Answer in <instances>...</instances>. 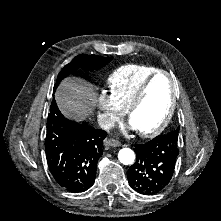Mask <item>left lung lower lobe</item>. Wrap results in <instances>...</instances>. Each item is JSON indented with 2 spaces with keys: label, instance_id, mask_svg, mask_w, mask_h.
Segmentation results:
<instances>
[{
  "label": "left lung lower lobe",
  "instance_id": "0a47b994",
  "mask_svg": "<svg viewBox=\"0 0 221 221\" xmlns=\"http://www.w3.org/2000/svg\"><path fill=\"white\" fill-rule=\"evenodd\" d=\"M136 162L127 171L130 186L138 193L154 195L170 182L179 154L178 138L159 135L135 145Z\"/></svg>",
  "mask_w": 221,
  "mask_h": 221
}]
</instances>
